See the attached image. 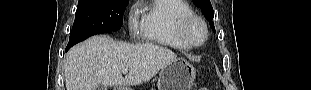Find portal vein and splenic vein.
I'll return each instance as SVG.
<instances>
[{
  "mask_svg": "<svg viewBox=\"0 0 311 90\" xmlns=\"http://www.w3.org/2000/svg\"><path fill=\"white\" fill-rule=\"evenodd\" d=\"M121 72H122L123 74H126V73L128 72V68H123V69L121 70Z\"/></svg>",
  "mask_w": 311,
  "mask_h": 90,
  "instance_id": "obj_1",
  "label": "portal vein and splenic vein"
}]
</instances>
